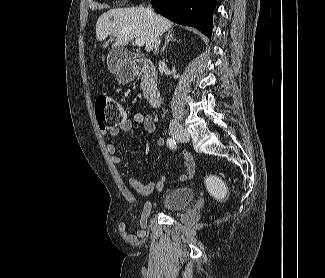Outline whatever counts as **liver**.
Segmentation results:
<instances>
[{"label":"liver","mask_w":325,"mask_h":278,"mask_svg":"<svg viewBox=\"0 0 325 278\" xmlns=\"http://www.w3.org/2000/svg\"><path fill=\"white\" fill-rule=\"evenodd\" d=\"M171 27L170 20L161 15L148 13L143 6L116 8L98 18L96 38L104 41L113 34L117 37L116 45H126L134 38H142L146 51L150 52L157 38Z\"/></svg>","instance_id":"liver-1"}]
</instances>
